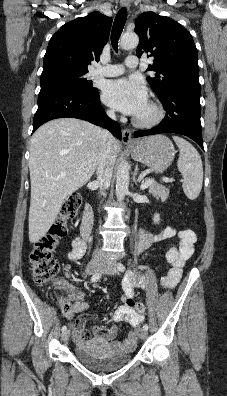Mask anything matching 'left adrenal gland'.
<instances>
[{
	"instance_id": "a2214340",
	"label": "left adrenal gland",
	"mask_w": 227,
	"mask_h": 396,
	"mask_svg": "<svg viewBox=\"0 0 227 396\" xmlns=\"http://www.w3.org/2000/svg\"><path fill=\"white\" fill-rule=\"evenodd\" d=\"M137 173H138V165H136V168H135V171H134V176H133V181L138 186Z\"/></svg>"
}]
</instances>
